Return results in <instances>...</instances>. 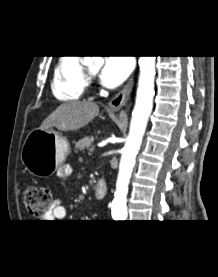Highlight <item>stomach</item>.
Segmentation results:
<instances>
[{
	"instance_id": "obj_1",
	"label": "stomach",
	"mask_w": 218,
	"mask_h": 277,
	"mask_svg": "<svg viewBox=\"0 0 218 277\" xmlns=\"http://www.w3.org/2000/svg\"><path fill=\"white\" fill-rule=\"evenodd\" d=\"M69 151L67 139L54 129H36L24 141L21 161L32 175L47 177L65 161Z\"/></svg>"
}]
</instances>
